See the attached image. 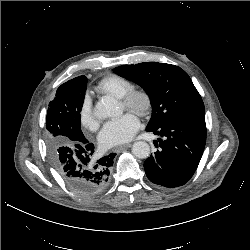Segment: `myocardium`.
I'll return each instance as SVG.
<instances>
[{"label":"myocardium","mask_w":250,"mask_h":250,"mask_svg":"<svg viewBox=\"0 0 250 250\" xmlns=\"http://www.w3.org/2000/svg\"><path fill=\"white\" fill-rule=\"evenodd\" d=\"M120 99L127 110H131L141 117L149 115L153 108L152 96L144 88H133Z\"/></svg>","instance_id":"obj_1"}]
</instances>
